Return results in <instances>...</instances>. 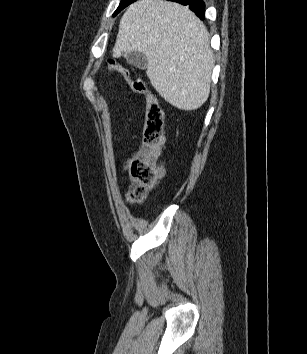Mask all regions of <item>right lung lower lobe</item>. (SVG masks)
Segmentation results:
<instances>
[{
  "instance_id": "98d812e1",
  "label": "right lung lower lobe",
  "mask_w": 307,
  "mask_h": 354,
  "mask_svg": "<svg viewBox=\"0 0 307 354\" xmlns=\"http://www.w3.org/2000/svg\"><path fill=\"white\" fill-rule=\"evenodd\" d=\"M183 5H187L195 14L204 19L205 16V4L202 0H170Z\"/></svg>"
}]
</instances>
